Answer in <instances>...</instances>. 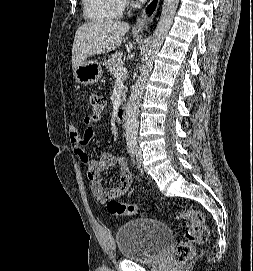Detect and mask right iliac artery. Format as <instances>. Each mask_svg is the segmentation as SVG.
I'll list each match as a JSON object with an SVG mask.
<instances>
[{"instance_id": "obj_1", "label": "right iliac artery", "mask_w": 253, "mask_h": 271, "mask_svg": "<svg viewBox=\"0 0 253 271\" xmlns=\"http://www.w3.org/2000/svg\"><path fill=\"white\" fill-rule=\"evenodd\" d=\"M128 147V153L130 154L131 157H134L136 154V142L135 141H129L127 143Z\"/></svg>"}]
</instances>
